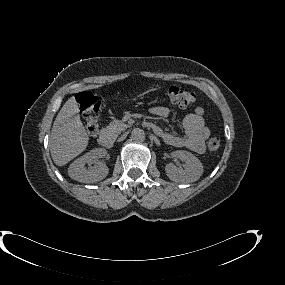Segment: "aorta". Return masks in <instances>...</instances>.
I'll return each instance as SVG.
<instances>
[{
  "label": "aorta",
  "instance_id": "aorta-1",
  "mask_svg": "<svg viewBox=\"0 0 285 285\" xmlns=\"http://www.w3.org/2000/svg\"><path fill=\"white\" fill-rule=\"evenodd\" d=\"M131 136L135 141H144L145 140V132L140 128L133 129Z\"/></svg>",
  "mask_w": 285,
  "mask_h": 285
}]
</instances>
